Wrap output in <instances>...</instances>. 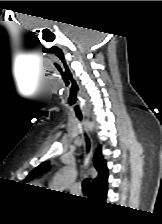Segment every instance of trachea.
I'll return each instance as SVG.
<instances>
[{"instance_id": "obj_1", "label": "trachea", "mask_w": 162, "mask_h": 224, "mask_svg": "<svg viewBox=\"0 0 162 224\" xmlns=\"http://www.w3.org/2000/svg\"><path fill=\"white\" fill-rule=\"evenodd\" d=\"M77 118L80 121L82 120V117H80V116H77ZM86 144H87V150H89L90 149V141L87 137H86ZM89 186H90V181L88 179H85L82 183V190L84 193L88 192Z\"/></svg>"}]
</instances>
